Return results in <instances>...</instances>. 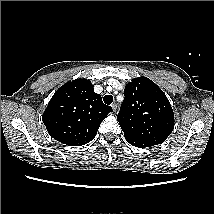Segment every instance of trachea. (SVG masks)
<instances>
[{
  "label": "trachea",
  "instance_id": "obj_1",
  "mask_svg": "<svg viewBox=\"0 0 214 214\" xmlns=\"http://www.w3.org/2000/svg\"><path fill=\"white\" fill-rule=\"evenodd\" d=\"M103 101L109 105L113 102V96L112 95H105L103 98Z\"/></svg>",
  "mask_w": 214,
  "mask_h": 214
}]
</instances>
